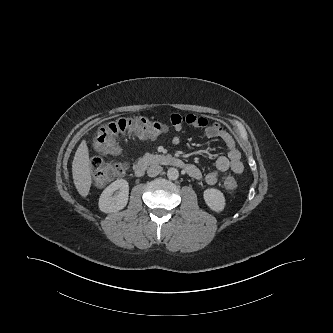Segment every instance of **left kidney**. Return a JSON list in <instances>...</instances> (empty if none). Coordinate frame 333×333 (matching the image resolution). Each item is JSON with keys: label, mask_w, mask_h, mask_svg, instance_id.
<instances>
[{"label": "left kidney", "mask_w": 333, "mask_h": 333, "mask_svg": "<svg viewBox=\"0 0 333 333\" xmlns=\"http://www.w3.org/2000/svg\"><path fill=\"white\" fill-rule=\"evenodd\" d=\"M203 197L207 206L215 211L221 212L225 208V197L223 193L215 188H208L204 191Z\"/></svg>", "instance_id": "obj_1"}]
</instances>
